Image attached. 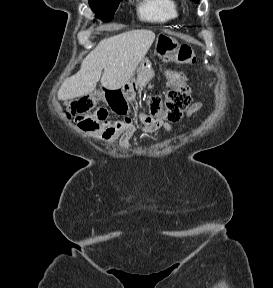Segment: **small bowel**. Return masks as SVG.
<instances>
[{"label": "small bowel", "instance_id": "small-bowel-1", "mask_svg": "<svg viewBox=\"0 0 273 288\" xmlns=\"http://www.w3.org/2000/svg\"><path fill=\"white\" fill-rule=\"evenodd\" d=\"M202 108V103L196 102L191 105L187 111V116L191 117L197 113ZM160 128H164L167 131H171L170 124L159 121L150 115L141 113L139 115V123H121L118 126H99L94 132L100 136L105 141H114L119 138L120 143L123 147L128 145L129 140L132 136L138 132L142 131L145 133H153Z\"/></svg>", "mask_w": 273, "mask_h": 288}]
</instances>
